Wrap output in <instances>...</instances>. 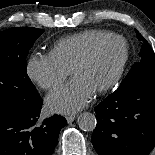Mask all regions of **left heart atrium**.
<instances>
[{
	"label": "left heart atrium",
	"mask_w": 155,
	"mask_h": 155,
	"mask_svg": "<svg viewBox=\"0 0 155 155\" xmlns=\"http://www.w3.org/2000/svg\"><path fill=\"white\" fill-rule=\"evenodd\" d=\"M93 94L82 82L73 79L67 85L51 92L46 98V105L52 112L71 114L84 108Z\"/></svg>",
	"instance_id": "1"
}]
</instances>
